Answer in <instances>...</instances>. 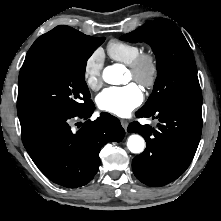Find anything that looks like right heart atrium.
I'll return each instance as SVG.
<instances>
[{"label": "right heart atrium", "mask_w": 221, "mask_h": 221, "mask_svg": "<svg viewBox=\"0 0 221 221\" xmlns=\"http://www.w3.org/2000/svg\"><path fill=\"white\" fill-rule=\"evenodd\" d=\"M104 67V56L101 49H95L86 58L83 65V78L87 86L93 90L102 85V70Z\"/></svg>", "instance_id": "d8ad5b80"}]
</instances>
